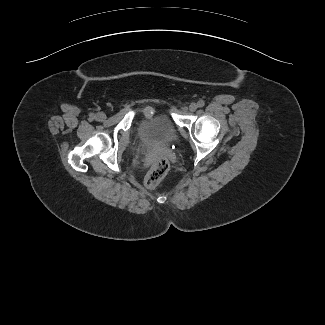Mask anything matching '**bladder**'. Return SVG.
<instances>
[{
  "mask_svg": "<svg viewBox=\"0 0 325 325\" xmlns=\"http://www.w3.org/2000/svg\"><path fill=\"white\" fill-rule=\"evenodd\" d=\"M138 133L160 144H170L177 139L176 126L166 114H157L145 119L140 124Z\"/></svg>",
  "mask_w": 325,
  "mask_h": 325,
  "instance_id": "1",
  "label": "bladder"
}]
</instances>
